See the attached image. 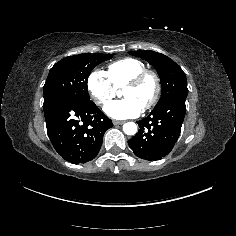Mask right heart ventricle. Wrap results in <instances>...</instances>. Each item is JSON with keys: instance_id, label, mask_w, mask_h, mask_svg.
I'll return each instance as SVG.
<instances>
[{"instance_id": "right-heart-ventricle-1", "label": "right heart ventricle", "mask_w": 236, "mask_h": 236, "mask_svg": "<svg viewBox=\"0 0 236 236\" xmlns=\"http://www.w3.org/2000/svg\"><path fill=\"white\" fill-rule=\"evenodd\" d=\"M145 69L146 66L141 60L126 57L109 64L106 73L117 89L120 90L132 76Z\"/></svg>"}]
</instances>
